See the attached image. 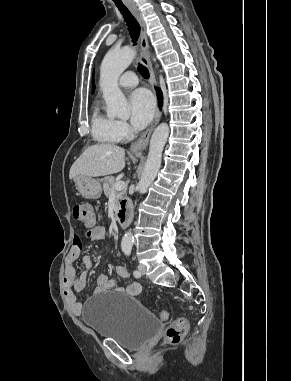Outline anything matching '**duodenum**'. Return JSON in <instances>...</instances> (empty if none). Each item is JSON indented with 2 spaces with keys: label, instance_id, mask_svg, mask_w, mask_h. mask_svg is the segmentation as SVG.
Instances as JSON below:
<instances>
[{
  "label": "duodenum",
  "instance_id": "410a0bca",
  "mask_svg": "<svg viewBox=\"0 0 291 381\" xmlns=\"http://www.w3.org/2000/svg\"><path fill=\"white\" fill-rule=\"evenodd\" d=\"M116 218L120 226L125 227L129 222V203L123 201L117 210Z\"/></svg>",
  "mask_w": 291,
  "mask_h": 381
}]
</instances>
